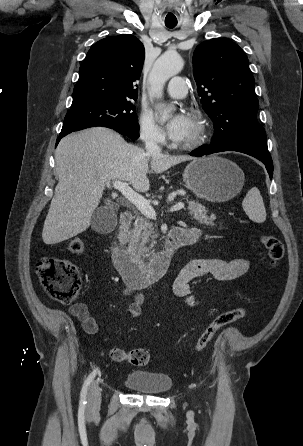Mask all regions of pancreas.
<instances>
[{
  "label": "pancreas",
  "instance_id": "cf45deb5",
  "mask_svg": "<svg viewBox=\"0 0 303 446\" xmlns=\"http://www.w3.org/2000/svg\"><path fill=\"white\" fill-rule=\"evenodd\" d=\"M40 8L43 5L39 6ZM189 214L193 216L198 223L213 226L216 216L211 214L207 215L205 206L199 204L194 200L188 201ZM157 238L156 230L152 222L142 216H136V220L133 228L126 231L125 240L128 242V249L131 253L136 254L139 257H149L152 254V248L156 244ZM147 244H150L147 246Z\"/></svg>",
  "mask_w": 303,
  "mask_h": 446
}]
</instances>
